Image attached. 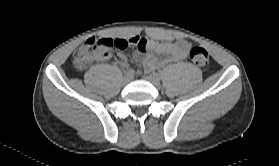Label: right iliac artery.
<instances>
[{"mask_svg":"<svg viewBox=\"0 0 279 166\" xmlns=\"http://www.w3.org/2000/svg\"><path fill=\"white\" fill-rule=\"evenodd\" d=\"M126 75H128V76H133V75H134V70H133V69H128V70L126 71Z\"/></svg>","mask_w":279,"mask_h":166,"instance_id":"obj_1","label":"right iliac artery"}]
</instances>
